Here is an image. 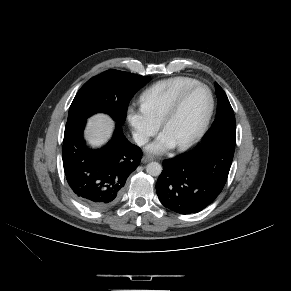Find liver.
I'll return each mask as SVG.
<instances>
[{
  "label": "liver",
  "instance_id": "1",
  "mask_svg": "<svg viewBox=\"0 0 291 291\" xmlns=\"http://www.w3.org/2000/svg\"><path fill=\"white\" fill-rule=\"evenodd\" d=\"M113 121L105 114H97L88 121L87 140L95 146L104 143L111 135Z\"/></svg>",
  "mask_w": 291,
  "mask_h": 291
}]
</instances>
